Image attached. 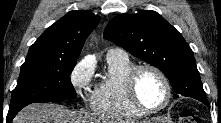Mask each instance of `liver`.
Returning a JSON list of instances; mask_svg holds the SVG:
<instances>
[{
  "mask_svg": "<svg viewBox=\"0 0 221 123\" xmlns=\"http://www.w3.org/2000/svg\"><path fill=\"white\" fill-rule=\"evenodd\" d=\"M104 121L83 112L65 109L57 104H31L25 107L13 123H100Z\"/></svg>",
  "mask_w": 221,
  "mask_h": 123,
  "instance_id": "6515ba94",
  "label": "liver"
}]
</instances>
